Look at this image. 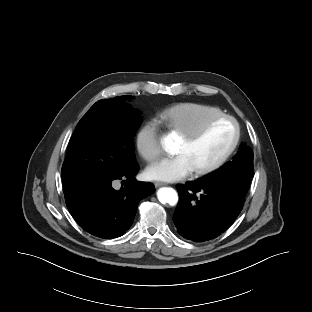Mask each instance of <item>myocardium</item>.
I'll use <instances>...</instances> for the list:
<instances>
[{"label":"myocardium","mask_w":312,"mask_h":312,"mask_svg":"<svg viewBox=\"0 0 312 312\" xmlns=\"http://www.w3.org/2000/svg\"><path fill=\"white\" fill-rule=\"evenodd\" d=\"M221 120H228L234 124L235 130H236L234 140H233L232 144L230 145V147L227 149V151L220 158H218L216 161H214L213 163H211L205 167L194 170L196 175H205V174H208L210 172L215 171L216 169L221 167L231 157V155L234 153V151L236 150V148L240 142L241 126L235 117H233L229 114L222 113V114H219V115H216L214 117L207 119L196 130L191 131V132L183 135V138L187 142H190V143L195 142L199 138H201L214 123L221 121Z\"/></svg>","instance_id":"myocardium-1"}]
</instances>
